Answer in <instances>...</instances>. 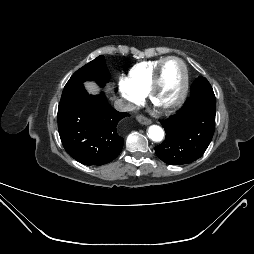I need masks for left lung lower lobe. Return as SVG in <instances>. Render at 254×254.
Masks as SVG:
<instances>
[{
	"label": "left lung lower lobe",
	"mask_w": 254,
	"mask_h": 254,
	"mask_svg": "<svg viewBox=\"0 0 254 254\" xmlns=\"http://www.w3.org/2000/svg\"><path fill=\"white\" fill-rule=\"evenodd\" d=\"M216 99H190L180 111L160 120L166 138L155 147L157 156L169 165L188 164L200 158L215 130Z\"/></svg>",
	"instance_id": "left-lung-lower-lobe-1"
}]
</instances>
